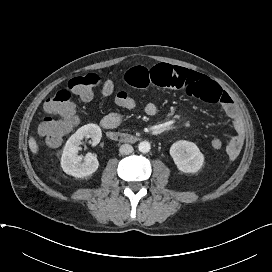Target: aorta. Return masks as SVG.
Returning <instances> with one entry per match:
<instances>
[{
  "label": "aorta",
  "instance_id": "762f6f07",
  "mask_svg": "<svg viewBox=\"0 0 272 272\" xmlns=\"http://www.w3.org/2000/svg\"><path fill=\"white\" fill-rule=\"evenodd\" d=\"M138 149L142 153H148L151 149L150 143L147 141H142L139 143Z\"/></svg>",
  "mask_w": 272,
  "mask_h": 272
}]
</instances>
